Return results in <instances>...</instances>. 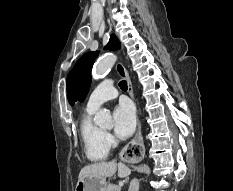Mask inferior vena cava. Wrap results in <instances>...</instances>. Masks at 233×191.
Instances as JSON below:
<instances>
[{"label":"inferior vena cava","mask_w":233,"mask_h":191,"mask_svg":"<svg viewBox=\"0 0 233 191\" xmlns=\"http://www.w3.org/2000/svg\"><path fill=\"white\" fill-rule=\"evenodd\" d=\"M129 191H139V181L137 179L131 181Z\"/></svg>","instance_id":"inferior-vena-cava-1"}]
</instances>
